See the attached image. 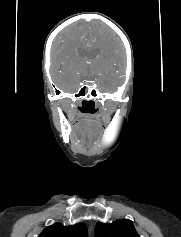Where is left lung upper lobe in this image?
Listing matches in <instances>:
<instances>
[{"label": "left lung upper lobe", "mask_w": 181, "mask_h": 237, "mask_svg": "<svg viewBox=\"0 0 181 237\" xmlns=\"http://www.w3.org/2000/svg\"><path fill=\"white\" fill-rule=\"evenodd\" d=\"M94 237H140L132 221L128 219L116 220L112 223L98 222Z\"/></svg>", "instance_id": "left-lung-upper-lobe-1"}]
</instances>
